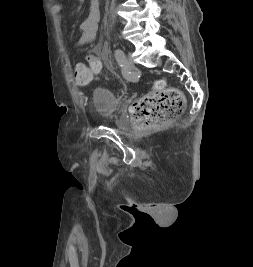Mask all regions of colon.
I'll list each match as a JSON object with an SVG mask.
<instances>
[{"label":"colon","instance_id":"colon-1","mask_svg":"<svg viewBox=\"0 0 253 267\" xmlns=\"http://www.w3.org/2000/svg\"><path fill=\"white\" fill-rule=\"evenodd\" d=\"M87 61L89 66H76L75 79L79 84L88 83L92 73H98L101 69V63L95 56L88 55ZM185 104V97L179 89L156 80L153 90L133 105L134 123L139 129L162 126L179 116L184 111Z\"/></svg>","mask_w":253,"mask_h":267}]
</instances>
